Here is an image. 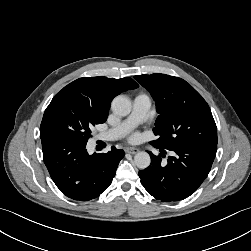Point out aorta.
I'll return each mask as SVG.
<instances>
[{
  "label": "aorta",
  "instance_id": "aorta-1",
  "mask_svg": "<svg viewBox=\"0 0 251 251\" xmlns=\"http://www.w3.org/2000/svg\"><path fill=\"white\" fill-rule=\"evenodd\" d=\"M111 109L118 116H127L131 112V102L125 96H117L111 103ZM150 162L151 158L147 152H138L134 156V164L140 169L147 168Z\"/></svg>",
  "mask_w": 251,
  "mask_h": 251
}]
</instances>
